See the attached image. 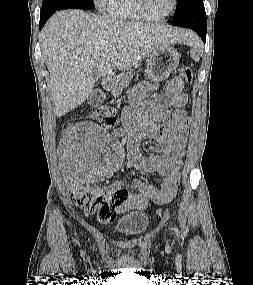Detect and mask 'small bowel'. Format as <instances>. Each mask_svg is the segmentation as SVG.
I'll list each match as a JSON object with an SVG mask.
<instances>
[{"instance_id":"1","label":"small bowel","mask_w":253,"mask_h":285,"mask_svg":"<svg viewBox=\"0 0 253 285\" xmlns=\"http://www.w3.org/2000/svg\"><path fill=\"white\" fill-rule=\"evenodd\" d=\"M154 88L155 85L149 82L133 88L130 104L124 109L123 117L118 109H101L104 126H121L122 118L123 126L116 129L114 134L118 138H125L129 165L143 173H157L163 177L160 186L132 178V191L127 200L119 205V210L144 209L150 202L167 204L174 199L180 187V169L189 124V117L183 108L188 95L183 91V81L175 77L167 84L164 93L153 100H144ZM143 138L156 142L150 148L153 155H146L139 149L138 142ZM125 185L126 180L122 179L114 187Z\"/></svg>"}]
</instances>
